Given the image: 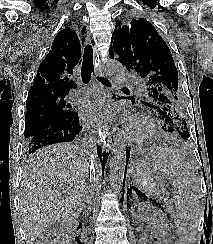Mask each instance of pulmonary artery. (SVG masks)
<instances>
[{
  "instance_id": "pulmonary-artery-1",
  "label": "pulmonary artery",
  "mask_w": 213,
  "mask_h": 244,
  "mask_svg": "<svg viewBox=\"0 0 213 244\" xmlns=\"http://www.w3.org/2000/svg\"><path fill=\"white\" fill-rule=\"evenodd\" d=\"M123 82H131L132 81V76L130 75H124L122 78ZM91 93V90L87 87V86H82L80 89L76 90L74 92V97L81 99L86 97L87 95H89Z\"/></svg>"
}]
</instances>
